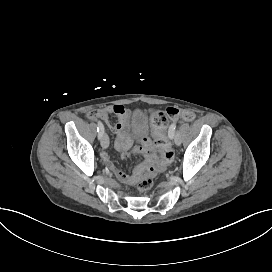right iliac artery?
<instances>
[{
  "mask_svg": "<svg viewBox=\"0 0 272 272\" xmlns=\"http://www.w3.org/2000/svg\"><path fill=\"white\" fill-rule=\"evenodd\" d=\"M97 125H98V127H97V132L99 133V134H98V139H101V137H102V135H103V133H104V125L102 124L101 121H98V122H97Z\"/></svg>",
  "mask_w": 272,
  "mask_h": 272,
  "instance_id": "1",
  "label": "right iliac artery"
}]
</instances>
